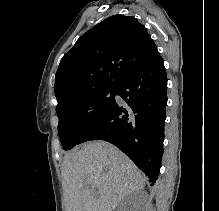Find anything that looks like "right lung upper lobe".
I'll return each instance as SVG.
<instances>
[{
    "instance_id": "right-lung-upper-lobe-1",
    "label": "right lung upper lobe",
    "mask_w": 219,
    "mask_h": 211,
    "mask_svg": "<svg viewBox=\"0 0 219 211\" xmlns=\"http://www.w3.org/2000/svg\"><path fill=\"white\" fill-rule=\"evenodd\" d=\"M145 27L134 17L114 15L82 35L60 61L54 91L58 104L116 85L159 57Z\"/></svg>"
}]
</instances>
